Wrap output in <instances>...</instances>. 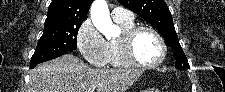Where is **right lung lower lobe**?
<instances>
[{
	"instance_id": "98d812e1",
	"label": "right lung lower lobe",
	"mask_w": 225,
	"mask_h": 92,
	"mask_svg": "<svg viewBox=\"0 0 225 92\" xmlns=\"http://www.w3.org/2000/svg\"><path fill=\"white\" fill-rule=\"evenodd\" d=\"M37 64H39V63H37ZM37 64L30 65V68L31 69L34 68Z\"/></svg>"
}]
</instances>
